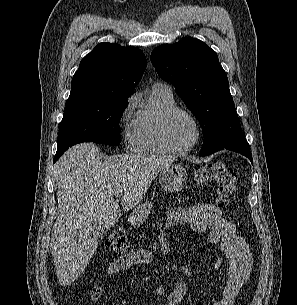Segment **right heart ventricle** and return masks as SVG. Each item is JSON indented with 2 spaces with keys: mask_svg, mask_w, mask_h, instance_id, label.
Listing matches in <instances>:
<instances>
[{
  "mask_svg": "<svg viewBox=\"0 0 297 305\" xmlns=\"http://www.w3.org/2000/svg\"><path fill=\"white\" fill-rule=\"evenodd\" d=\"M176 103L173 94L161 86L154 85L148 93L146 102L133 119L129 138L130 148L139 154H165L167 149L161 144L157 134L161 114Z\"/></svg>",
  "mask_w": 297,
  "mask_h": 305,
  "instance_id": "e07e8e85",
  "label": "right heart ventricle"
}]
</instances>
